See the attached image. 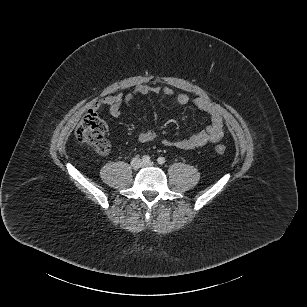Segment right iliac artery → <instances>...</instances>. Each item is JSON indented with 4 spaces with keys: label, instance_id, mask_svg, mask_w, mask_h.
Returning a JSON list of instances; mask_svg holds the SVG:
<instances>
[{
    "label": "right iliac artery",
    "instance_id": "right-iliac-artery-1",
    "mask_svg": "<svg viewBox=\"0 0 307 307\" xmlns=\"http://www.w3.org/2000/svg\"><path fill=\"white\" fill-rule=\"evenodd\" d=\"M142 161H143L144 163H148V162H150V157H149L148 155H144V156L142 157Z\"/></svg>",
    "mask_w": 307,
    "mask_h": 307
}]
</instances>
